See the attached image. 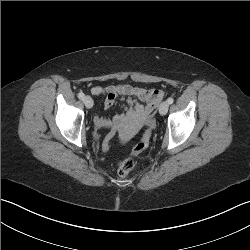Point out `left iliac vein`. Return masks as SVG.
<instances>
[{"instance_id": "obj_1", "label": "left iliac vein", "mask_w": 250, "mask_h": 250, "mask_svg": "<svg viewBox=\"0 0 250 250\" xmlns=\"http://www.w3.org/2000/svg\"><path fill=\"white\" fill-rule=\"evenodd\" d=\"M168 108H169L168 102L167 101L162 102L159 106V113L161 115H165L168 111Z\"/></svg>"}]
</instances>
